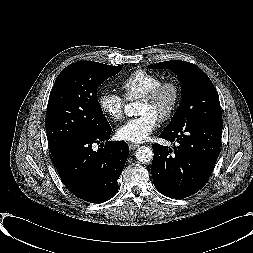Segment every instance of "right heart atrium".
I'll return each instance as SVG.
<instances>
[{
	"label": "right heart atrium",
	"instance_id": "obj_1",
	"mask_svg": "<svg viewBox=\"0 0 253 253\" xmlns=\"http://www.w3.org/2000/svg\"><path fill=\"white\" fill-rule=\"evenodd\" d=\"M99 107L104 115L113 121H119L124 114L125 99L116 92L106 90L98 98Z\"/></svg>",
	"mask_w": 253,
	"mask_h": 253
}]
</instances>
